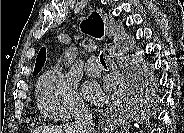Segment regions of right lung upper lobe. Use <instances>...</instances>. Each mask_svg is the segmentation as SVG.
<instances>
[{
  "instance_id": "obj_1",
  "label": "right lung upper lobe",
  "mask_w": 184,
  "mask_h": 133,
  "mask_svg": "<svg viewBox=\"0 0 184 133\" xmlns=\"http://www.w3.org/2000/svg\"><path fill=\"white\" fill-rule=\"evenodd\" d=\"M81 30L84 33L94 36L96 38L102 37V35L104 34V24L101 16L98 13L93 12L88 19L84 20L81 23ZM45 60L46 49L45 47H43L37 56L33 75H37L41 71Z\"/></svg>"
}]
</instances>
